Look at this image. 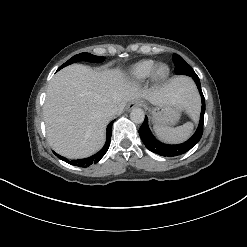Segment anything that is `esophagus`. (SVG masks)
I'll return each mask as SVG.
<instances>
[{
	"instance_id": "34e87169",
	"label": "esophagus",
	"mask_w": 247,
	"mask_h": 247,
	"mask_svg": "<svg viewBox=\"0 0 247 247\" xmlns=\"http://www.w3.org/2000/svg\"><path fill=\"white\" fill-rule=\"evenodd\" d=\"M142 103L139 101V100H133L129 105H128V108H127V111H129L130 109L134 108V107H139L141 106Z\"/></svg>"
}]
</instances>
